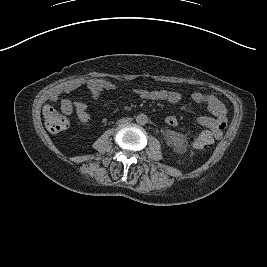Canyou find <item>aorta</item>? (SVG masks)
Here are the masks:
<instances>
[{
  "mask_svg": "<svg viewBox=\"0 0 267 267\" xmlns=\"http://www.w3.org/2000/svg\"><path fill=\"white\" fill-rule=\"evenodd\" d=\"M148 121V117L147 115L145 114H139L137 117H136V122L140 125H144L146 124Z\"/></svg>",
  "mask_w": 267,
  "mask_h": 267,
  "instance_id": "aorta-1",
  "label": "aorta"
}]
</instances>
